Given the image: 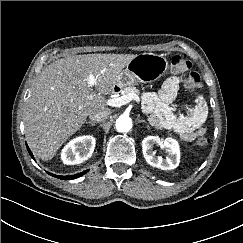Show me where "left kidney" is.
<instances>
[{"instance_id":"5707ae66","label":"left kidney","mask_w":243,"mask_h":243,"mask_svg":"<svg viewBox=\"0 0 243 243\" xmlns=\"http://www.w3.org/2000/svg\"><path fill=\"white\" fill-rule=\"evenodd\" d=\"M158 144L167 153V157L164 159L161 156H156L153 147ZM142 151L146 162L161 170L175 169L180 162V150L178 142L173 138H166L161 141L159 137L147 136L142 141Z\"/></svg>"}]
</instances>
